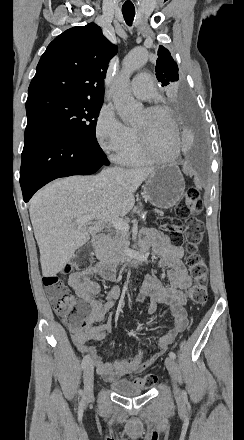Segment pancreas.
<instances>
[{"mask_svg":"<svg viewBox=\"0 0 244 440\" xmlns=\"http://www.w3.org/2000/svg\"><path fill=\"white\" fill-rule=\"evenodd\" d=\"M129 232L125 230H112L110 234L104 236L101 242L95 246L96 258L104 264H117V262H124V250L128 248L130 242Z\"/></svg>","mask_w":244,"mask_h":440,"instance_id":"1","label":"pancreas"}]
</instances>
